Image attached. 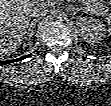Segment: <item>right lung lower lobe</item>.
Segmentation results:
<instances>
[{
	"instance_id": "98d812e1",
	"label": "right lung lower lobe",
	"mask_w": 111,
	"mask_h": 106,
	"mask_svg": "<svg viewBox=\"0 0 111 106\" xmlns=\"http://www.w3.org/2000/svg\"><path fill=\"white\" fill-rule=\"evenodd\" d=\"M29 55H26L24 57H21V58H18V59H14V60H9V61H0V63L2 64H7V63H12V62H17V61H20V60H23L25 58H27Z\"/></svg>"
}]
</instances>
